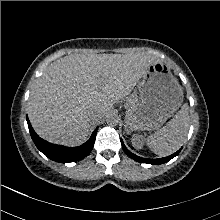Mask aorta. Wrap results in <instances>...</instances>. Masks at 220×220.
I'll return each instance as SVG.
<instances>
[{"instance_id":"762f6f07","label":"aorta","mask_w":220,"mask_h":220,"mask_svg":"<svg viewBox=\"0 0 220 220\" xmlns=\"http://www.w3.org/2000/svg\"><path fill=\"white\" fill-rule=\"evenodd\" d=\"M119 117L116 113H110L107 116V123L110 125H116L118 123Z\"/></svg>"}]
</instances>
